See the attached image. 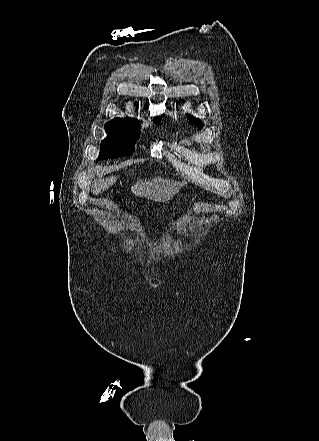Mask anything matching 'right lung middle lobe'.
<instances>
[{
	"mask_svg": "<svg viewBox=\"0 0 319 441\" xmlns=\"http://www.w3.org/2000/svg\"><path fill=\"white\" fill-rule=\"evenodd\" d=\"M156 119L155 123L159 124ZM107 137L102 141L97 160L129 156L134 151V143L139 137L138 121L114 118L105 124Z\"/></svg>",
	"mask_w": 319,
	"mask_h": 441,
	"instance_id": "right-lung-middle-lobe-1",
	"label": "right lung middle lobe"
}]
</instances>
